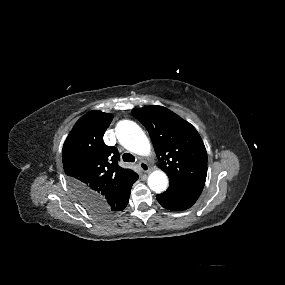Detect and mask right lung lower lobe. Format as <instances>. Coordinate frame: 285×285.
Listing matches in <instances>:
<instances>
[{"mask_svg": "<svg viewBox=\"0 0 285 285\" xmlns=\"http://www.w3.org/2000/svg\"><path fill=\"white\" fill-rule=\"evenodd\" d=\"M130 191L131 189L128 191L127 195L123 198V200L118 203L116 206L112 207V213H117L119 211H122L128 204V199L130 196ZM98 207H102V204H98Z\"/></svg>", "mask_w": 285, "mask_h": 285, "instance_id": "obj_1", "label": "right lung lower lobe"}]
</instances>
